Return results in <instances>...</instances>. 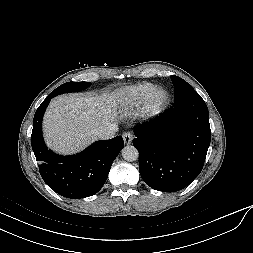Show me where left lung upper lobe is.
I'll return each mask as SVG.
<instances>
[{"label":"left lung upper lobe","instance_id":"left-lung-upper-lobe-1","mask_svg":"<svg viewBox=\"0 0 253 253\" xmlns=\"http://www.w3.org/2000/svg\"><path fill=\"white\" fill-rule=\"evenodd\" d=\"M171 79L175 87V104L199 95L192 86L182 78L173 75Z\"/></svg>","mask_w":253,"mask_h":253}]
</instances>
